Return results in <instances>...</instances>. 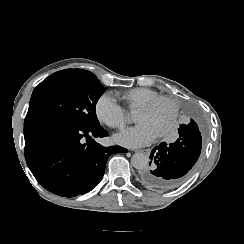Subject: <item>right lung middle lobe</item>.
<instances>
[{
  "mask_svg": "<svg viewBox=\"0 0 244 244\" xmlns=\"http://www.w3.org/2000/svg\"><path fill=\"white\" fill-rule=\"evenodd\" d=\"M105 90L90 71H58L34 89L27 115L50 116L75 126L92 128L100 125L95 107Z\"/></svg>",
  "mask_w": 244,
  "mask_h": 244,
  "instance_id": "dd1d6c3e",
  "label": "right lung middle lobe"
}]
</instances>
